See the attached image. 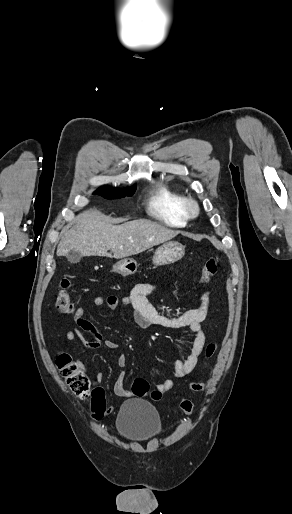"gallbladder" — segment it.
Wrapping results in <instances>:
<instances>
[{
  "label": "gallbladder",
  "mask_w": 292,
  "mask_h": 514,
  "mask_svg": "<svg viewBox=\"0 0 292 514\" xmlns=\"http://www.w3.org/2000/svg\"><path fill=\"white\" fill-rule=\"evenodd\" d=\"M66 258L68 262H71V264H77V262H80L81 258H83L82 254L80 252H75V250H70L68 254H66Z\"/></svg>",
  "instance_id": "obj_1"
}]
</instances>
